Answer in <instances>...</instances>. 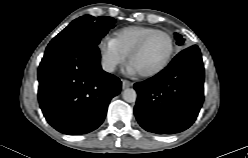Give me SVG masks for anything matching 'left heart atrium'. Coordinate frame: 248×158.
<instances>
[{
    "mask_svg": "<svg viewBox=\"0 0 248 158\" xmlns=\"http://www.w3.org/2000/svg\"><path fill=\"white\" fill-rule=\"evenodd\" d=\"M126 72L128 74H136V73H138V71L136 70V68L133 66V64L131 62L126 66Z\"/></svg>",
    "mask_w": 248,
    "mask_h": 158,
    "instance_id": "obj_1",
    "label": "left heart atrium"
}]
</instances>
